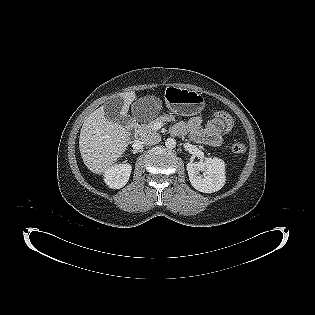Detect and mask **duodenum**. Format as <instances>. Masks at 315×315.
<instances>
[{
  "label": "duodenum",
  "mask_w": 315,
  "mask_h": 315,
  "mask_svg": "<svg viewBox=\"0 0 315 315\" xmlns=\"http://www.w3.org/2000/svg\"><path fill=\"white\" fill-rule=\"evenodd\" d=\"M137 125L134 122H131L128 126V130L131 133H134L136 131Z\"/></svg>",
  "instance_id": "duodenum-1"
}]
</instances>
